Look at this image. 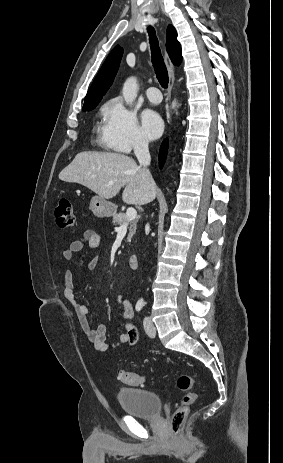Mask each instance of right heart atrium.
<instances>
[{
  "instance_id": "d8ad5b80",
  "label": "right heart atrium",
  "mask_w": 283,
  "mask_h": 463,
  "mask_svg": "<svg viewBox=\"0 0 283 463\" xmlns=\"http://www.w3.org/2000/svg\"><path fill=\"white\" fill-rule=\"evenodd\" d=\"M104 122L101 129L103 142L120 152L145 149L147 139L141 132L134 111L121 100H111L104 108Z\"/></svg>"
}]
</instances>
